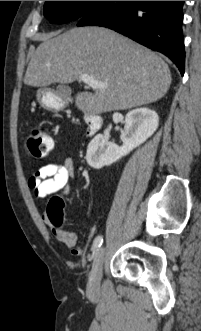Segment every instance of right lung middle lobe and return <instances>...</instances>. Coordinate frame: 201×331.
<instances>
[{"mask_svg": "<svg viewBox=\"0 0 201 331\" xmlns=\"http://www.w3.org/2000/svg\"><path fill=\"white\" fill-rule=\"evenodd\" d=\"M103 1H46L44 16L51 23H65L82 18Z\"/></svg>", "mask_w": 201, "mask_h": 331, "instance_id": "right-lung-middle-lobe-1", "label": "right lung middle lobe"}]
</instances>
